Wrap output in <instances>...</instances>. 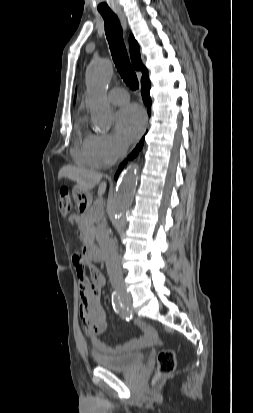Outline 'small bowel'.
<instances>
[{"instance_id":"c3829d8e","label":"small bowel","mask_w":253,"mask_h":413,"mask_svg":"<svg viewBox=\"0 0 253 413\" xmlns=\"http://www.w3.org/2000/svg\"><path fill=\"white\" fill-rule=\"evenodd\" d=\"M79 219L80 216L76 214L69 218L72 223L78 222ZM72 262L79 278L80 318L96 353L115 355L127 350L143 348L157 341V334L153 327L143 322H137V326L141 330V335L137 338L119 346H111L103 342L99 335L106 328V314L101 305L100 297L101 290L105 285V276L90 258L81 253H75ZM85 268L89 271V277L85 276Z\"/></svg>"}]
</instances>
